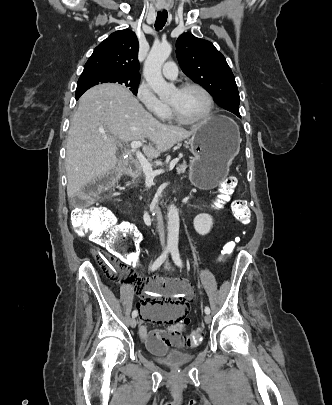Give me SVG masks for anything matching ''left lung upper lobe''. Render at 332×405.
I'll list each match as a JSON object with an SVG mask.
<instances>
[{
  "instance_id": "obj_1",
  "label": "left lung upper lobe",
  "mask_w": 332,
  "mask_h": 405,
  "mask_svg": "<svg viewBox=\"0 0 332 405\" xmlns=\"http://www.w3.org/2000/svg\"><path fill=\"white\" fill-rule=\"evenodd\" d=\"M176 55L182 71L207 89L219 106L228 111L239 106L235 77L211 42L183 33L176 42Z\"/></svg>"
}]
</instances>
